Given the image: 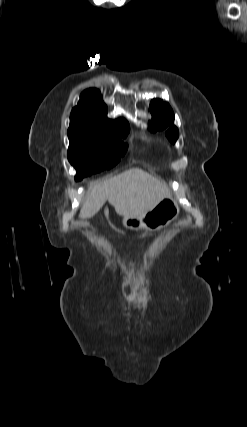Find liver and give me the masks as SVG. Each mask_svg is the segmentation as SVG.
<instances>
[{"instance_id":"6515ba94","label":"liver","mask_w":247,"mask_h":427,"mask_svg":"<svg viewBox=\"0 0 247 427\" xmlns=\"http://www.w3.org/2000/svg\"><path fill=\"white\" fill-rule=\"evenodd\" d=\"M169 196L165 184L142 169L132 168L110 179L91 182L79 217H93L106 201L124 218L143 216Z\"/></svg>"}]
</instances>
